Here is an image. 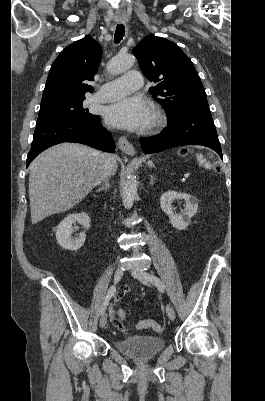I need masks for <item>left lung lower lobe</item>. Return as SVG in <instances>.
I'll use <instances>...</instances> for the list:
<instances>
[{
    "label": "left lung lower lobe",
    "instance_id": "0a47b994",
    "mask_svg": "<svg viewBox=\"0 0 265 401\" xmlns=\"http://www.w3.org/2000/svg\"><path fill=\"white\" fill-rule=\"evenodd\" d=\"M146 154L161 152L181 145L210 147L222 158L220 142L210 111H189L169 119L168 126L158 135L140 138Z\"/></svg>",
    "mask_w": 265,
    "mask_h": 401
}]
</instances>
